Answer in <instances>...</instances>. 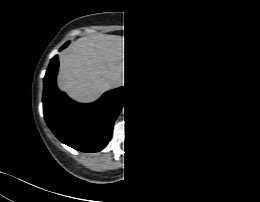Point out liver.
Segmentation results:
<instances>
[{"instance_id": "1", "label": "liver", "mask_w": 260, "mask_h": 202, "mask_svg": "<svg viewBox=\"0 0 260 202\" xmlns=\"http://www.w3.org/2000/svg\"><path fill=\"white\" fill-rule=\"evenodd\" d=\"M123 57L121 36L98 33L79 38L60 54L58 86L77 102H94L111 89V81L124 83Z\"/></svg>"}]
</instances>
